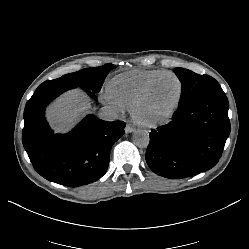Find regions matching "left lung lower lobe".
Here are the masks:
<instances>
[{
  "label": "left lung lower lobe",
  "instance_id": "1",
  "mask_svg": "<svg viewBox=\"0 0 249 249\" xmlns=\"http://www.w3.org/2000/svg\"><path fill=\"white\" fill-rule=\"evenodd\" d=\"M224 92L196 97L179 106L172 121L150 133L146 162L163 177L180 179L214 167L230 134Z\"/></svg>",
  "mask_w": 249,
  "mask_h": 249
}]
</instances>
